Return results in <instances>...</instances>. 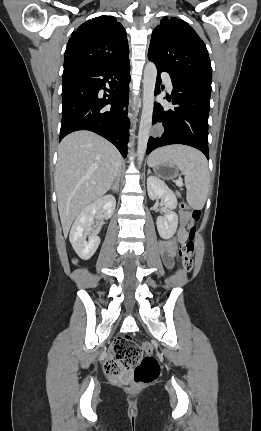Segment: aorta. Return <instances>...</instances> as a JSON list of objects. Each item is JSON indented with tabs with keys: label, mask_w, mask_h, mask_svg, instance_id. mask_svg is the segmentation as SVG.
<instances>
[{
	"label": "aorta",
	"mask_w": 261,
	"mask_h": 431,
	"mask_svg": "<svg viewBox=\"0 0 261 431\" xmlns=\"http://www.w3.org/2000/svg\"><path fill=\"white\" fill-rule=\"evenodd\" d=\"M156 77V65L152 62L147 63L144 69L143 109L138 133L137 157L139 165L144 159L151 130Z\"/></svg>",
	"instance_id": "762f6f07"
}]
</instances>
